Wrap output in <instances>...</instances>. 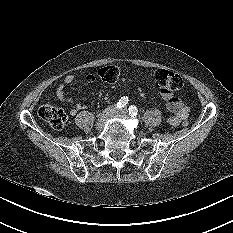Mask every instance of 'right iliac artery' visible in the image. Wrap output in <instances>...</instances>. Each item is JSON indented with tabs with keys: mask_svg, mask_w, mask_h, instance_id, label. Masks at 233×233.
<instances>
[{
	"mask_svg": "<svg viewBox=\"0 0 233 233\" xmlns=\"http://www.w3.org/2000/svg\"><path fill=\"white\" fill-rule=\"evenodd\" d=\"M128 101H129V99L127 96L121 97L116 105L117 106L116 108H119V109L123 108L124 106H126L128 104Z\"/></svg>",
	"mask_w": 233,
	"mask_h": 233,
	"instance_id": "right-iliac-artery-1",
	"label": "right iliac artery"
}]
</instances>
